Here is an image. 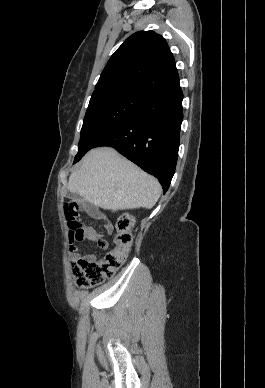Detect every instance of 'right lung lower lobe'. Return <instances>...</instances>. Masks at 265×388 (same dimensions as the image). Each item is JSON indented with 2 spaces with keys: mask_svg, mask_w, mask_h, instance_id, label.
<instances>
[{
  "mask_svg": "<svg viewBox=\"0 0 265 388\" xmlns=\"http://www.w3.org/2000/svg\"><path fill=\"white\" fill-rule=\"evenodd\" d=\"M182 100L179 83L150 95L131 116L101 138L94 147L115 148L158 178L165 193L177 163L183 120Z\"/></svg>",
  "mask_w": 265,
  "mask_h": 388,
  "instance_id": "1",
  "label": "right lung lower lobe"
}]
</instances>
